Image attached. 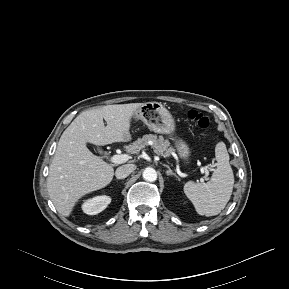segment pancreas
<instances>
[{"mask_svg":"<svg viewBox=\"0 0 289 289\" xmlns=\"http://www.w3.org/2000/svg\"><path fill=\"white\" fill-rule=\"evenodd\" d=\"M151 142V147L157 155H162L168 157L173 150L170 147V143L165 140L163 137L157 138L156 135H144L142 138H139L137 141L126 146V151L130 154H137L141 149L147 146Z\"/></svg>","mask_w":289,"mask_h":289,"instance_id":"cf45deb5","label":"pancreas"}]
</instances>
